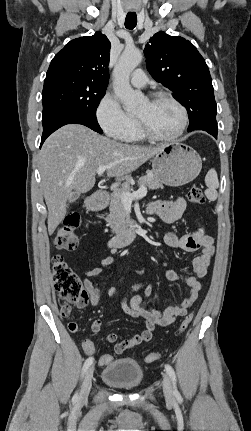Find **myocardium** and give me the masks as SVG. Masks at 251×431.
Instances as JSON below:
<instances>
[{
  "mask_svg": "<svg viewBox=\"0 0 251 431\" xmlns=\"http://www.w3.org/2000/svg\"><path fill=\"white\" fill-rule=\"evenodd\" d=\"M150 103H157L159 101H168L172 104H174L180 111L181 113V123L180 126L178 128V130L168 136H161L158 135L156 133H154L145 123V121L136 116V122H137V126L138 129L140 131V133L143 135L144 138H147L149 140H153V141H159V142H170V141H174L176 139H178L180 136L183 135V133L185 132L187 125H188V112L187 109L185 108V106L179 101L177 100L175 97H173L170 94L167 93H156L154 94L149 100Z\"/></svg>",
  "mask_w": 251,
  "mask_h": 431,
  "instance_id": "obj_1",
  "label": "myocardium"
}]
</instances>
